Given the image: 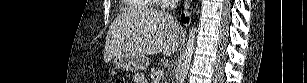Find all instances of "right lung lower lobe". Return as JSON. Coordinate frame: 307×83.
I'll return each mask as SVG.
<instances>
[{
	"instance_id": "1",
	"label": "right lung lower lobe",
	"mask_w": 307,
	"mask_h": 83,
	"mask_svg": "<svg viewBox=\"0 0 307 83\" xmlns=\"http://www.w3.org/2000/svg\"><path fill=\"white\" fill-rule=\"evenodd\" d=\"M181 21H182V22H186V21H187V19H186V18H184V15H183V14H182Z\"/></svg>"
}]
</instances>
